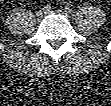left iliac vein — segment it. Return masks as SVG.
I'll use <instances>...</instances> for the list:
<instances>
[{
    "mask_svg": "<svg viewBox=\"0 0 111 106\" xmlns=\"http://www.w3.org/2000/svg\"><path fill=\"white\" fill-rule=\"evenodd\" d=\"M48 13H50V14H60V15H63L65 17L69 16L67 13H65L64 11H62L60 9L51 10Z\"/></svg>",
    "mask_w": 111,
    "mask_h": 106,
    "instance_id": "left-iliac-vein-1",
    "label": "left iliac vein"
}]
</instances>
